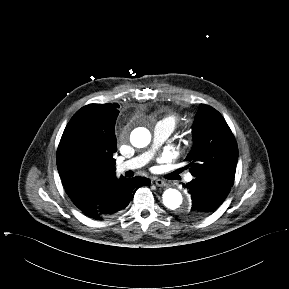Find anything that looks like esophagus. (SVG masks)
<instances>
[{"label":"esophagus","mask_w":289,"mask_h":289,"mask_svg":"<svg viewBox=\"0 0 289 289\" xmlns=\"http://www.w3.org/2000/svg\"><path fill=\"white\" fill-rule=\"evenodd\" d=\"M154 182L159 187L167 186V183L164 180H162V179H154Z\"/></svg>","instance_id":"34e87169"}]
</instances>
